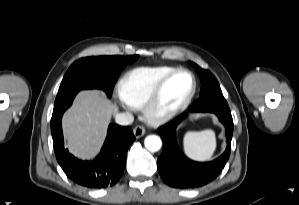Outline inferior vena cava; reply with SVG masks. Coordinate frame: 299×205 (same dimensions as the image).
Masks as SVG:
<instances>
[{"instance_id": "obj_1", "label": "inferior vena cava", "mask_w": 299, "mask_h": 205, "mask_svg": "<svg viewBox=\"0 0 299 205\" xmlns=\"http://www.w3.org/2000/svg\"><path fill=\"white\" fill-rule=\"evenodd\" d=\"M134 121V117L131 113H120L115 115V122L119 125H130Z\"/></svg>"}]
</instances>
